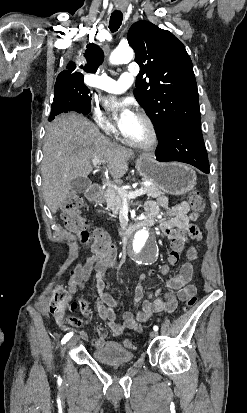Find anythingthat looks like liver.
<instances>
[{
  "label": "liver",
  "mask_w": 247,
  "mask_h": 413,
  "mask_svg": "<svg viewBox=\"0 0 247 413\" xmlns=\"http://www.w3.org/2000/svg\"><path fill=\"white\" fill-rule=\"evenodd\" d=\"M132 154V150L104 136L83 114L56 116L46 128L41 162L42 190L51 213H57L66 200L71 180L91 172L92 158H100L111 176L120 178L127 172Z\"/></svg>",
  "instance_id": "obj_1"
}]
</instances>
